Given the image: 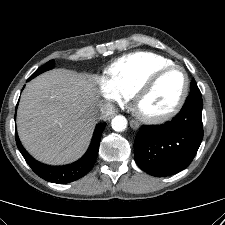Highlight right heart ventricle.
Instances as JSON below:
<instances>
[{"label":"right heart ventricle","mask_w":225,"mask_h":225,"mask_svg":"<svg viewBox=\"0 0 225 225\" xmlns=\"http://www.w3.org/2000/svg\"><path fill=\"white\" fill-rule=\"evenodd\" d=\"M172 64V60L158 54L135 52L113 63L107 70V79L125 98H130L148 76Z\"/></svg>","instance_id":"1"}]
</instances>
